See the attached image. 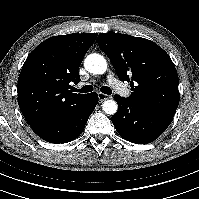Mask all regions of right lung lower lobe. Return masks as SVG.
<instances>
[{
	"mask_svg": "<svg viewBox=\"0 0 199 199\" xmlns=\"http://www.w3.org/2000/svg\"><path fill=\"white\" fill-rule=\"evenodd\" d=\"M98 103L96 93L87 94L75 108L65 112L54 121L32 128L43 140L50 143H66L76 139L84 130L90 114Z\"/></svg>",
	"mask_w": 199,
	"mask_h": 199,
	"instance_id": "98d812e1",
	"label": "right lung lower lobe"
}]
</instances>
